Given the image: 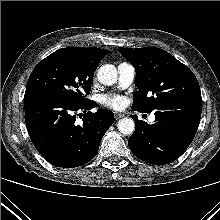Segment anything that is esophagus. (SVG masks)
<instances>
[{"label": "esophagus", "mask_w": 220, "mask_h": 220, "mask_svg": "<svg viewBox=\"0 0 220 220\" xmlns=\"http://www.w3.org/2000/svg\"><path fill=\"white\" fill-rule=\"evenodd\" d=\"M122 117H124V114L119 113V112H115V118L116 119H119V118H122Z\"/></svg>", "instance_id": "esophagus-1"}]
</instances>
